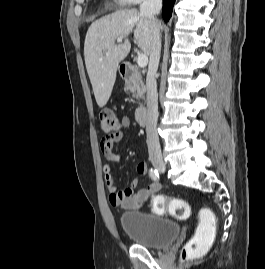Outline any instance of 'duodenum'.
Masks as SVG:
<instances>
[{
    "mask_svg": "<svg viewBox=\"0 0 265 269\" xmlns=\"http://www.w3.org/2000/svg\"><path fill=\"white\" fill-rule=\"evenodd\" d=\"M122 78L128 82L136 83L140 79V74L131 63H125L121 66ZM135 119L139 125H145L147 121V108L144 105L139 106L135 111Z\"/></svg>",
    "mask_w": 265,
    "mask_h": 269,
    "instance_id": "410a0bca",
    "label": "duodenum"
}]
</instances>
